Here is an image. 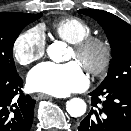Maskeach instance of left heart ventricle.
Segmentation results:
<instances>
[{"label": "left heart ventricle", "instance_id": "left-heart-ventricle-1", "mask_svg": "<svg viewBox=\"0 0 131 131\" xmlns=\"http://www.w3.org/2000/svg\"><path fill=\"white\" fill-rule=\"evenodd\" d=\"M70 59H75V60H77V61L81 64V62L76 58V55H75L74 51H71ZM87 60H88V62H90V63H96V62H98V60H99V54H98L97 52H95V53L91 54V55L88 57Z\"/></svg>", "mask_w": 131, "mask_h": 131}]
</instances>
